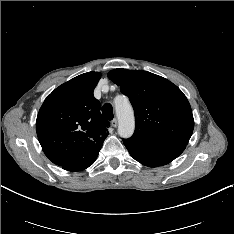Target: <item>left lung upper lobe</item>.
<instances>
[{
  "label": "left lung upper lobe",
  "mask_w": 234,
  "mask_h": 234,
  "mask_svg": "<svg viewBox=\"0 0 234 234\" xmlns=\"http://www.w3.org/2000/svg\"><path fill=\"white\" fill-rule=\"evenodd\" d=\"M108 77L127 95L135 132L127 140L147 145H187L194 128L190 104L169 80L142 70L115 69Z\"/></svg>",
  "instance_id": "5c2ea615"
}]
</instances>
